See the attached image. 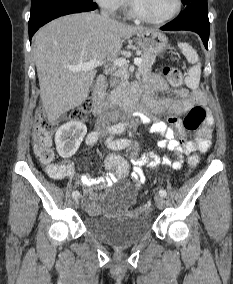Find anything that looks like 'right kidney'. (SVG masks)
<instances>
[{"mask_svg":"<svg viewBox=\"0 0 233 284\" xmlns=\"http://www.w3.org/2000/svg\"><path fill=\"white\" fill-rule=\"evenodd\" d=\"M87 133L83 123L71 121L57 130L55 135L56 149L63 158H70L78 150Z\"/></svg>","mask_w":233,"mask_h":284,"instance_id":"1","label":"right kidney"}]
</instances>
